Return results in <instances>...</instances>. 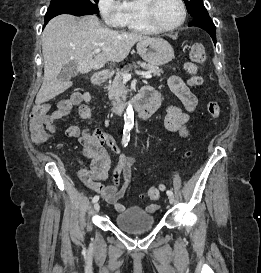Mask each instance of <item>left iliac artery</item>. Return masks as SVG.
Masks as SVG:
<instances>
[{"instance_id": "obj_1", "label": "left iliac artery", "mask_w": 261, "mask_h": 273, "mask_svg": "<svg viewBox=\"0 0 261 273\" xmlns=\"http://www.w3.org/2000/svg\"><path fill=\"white\" fill-rule=\"evenodd\" d=\"M166 193H167V195H168V196H171V195H173V192H172V190H167V192H166Z\"/></svg>"}]
</instances>
